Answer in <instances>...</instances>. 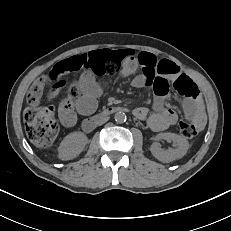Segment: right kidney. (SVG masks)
<instances>
[{"label": "right kidney", "mask_w": 231, "mask_h": 231, "mask_svg": "<svg viewBox=\"0 0 231 231\" xmlns=\"http://www.w3.org/2000/svg\"><path fill=\"white\" fill-rule=\"evenodd\" d=\"M87 136L82 132L68 134L58 148L61 160H71L78 156L88 144Z\"/></svg>", "instance_id": "1"}]
</instances>
